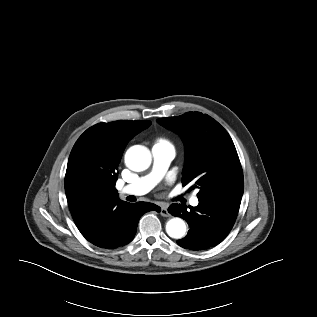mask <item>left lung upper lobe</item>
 <instances>
[{
	"label": "left lung upper lobe",
	"instance_id": "obj_1",
	"mask_svg": "<svg viewBox=\"0 0 317 317\" xmlns=\"http://www.w3.org/2000/svg\"><path fill=\"white\" fill-rule=\"evenodd\" d=\"M157 122L178 133L185 144L186 160L183 185L193 184L197 196H242L243 171L227 131L213 118L200 112L157 119Z\"/></svg>",
	"mask_w": 317,
	"mask_h": 317
}]
</instances>
